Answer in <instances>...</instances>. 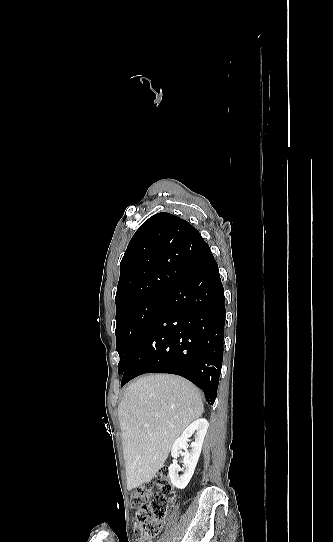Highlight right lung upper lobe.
Wrapping results in <instances>:
<instances>
[{
  "label": "right lung upper lobe",
  "mask_w": 333,
  "mask_h": 542,
  "mask_svg": "<svg viewBox=\"0 0 333 542\" xmlns=\"http://www.w3.org/2000/svg\"><path fill=\"white\" fill-rule=\"evenodd\" d=\"M206 246L198 230L187 221L164 212L150 217L133 235L121 260L116 314L151 295L169 292L183 279L181 269L159 258L160 251L194 252Z\"/></svg>",
  "instance_id": "cb5924a9"
}]
</instances>
